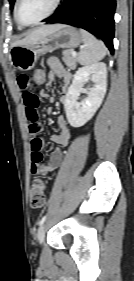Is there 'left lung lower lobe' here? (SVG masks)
<instances>
[{"instance_id":"1","label":"left lung lower lobe","mask_w":134,"mask_h":281,"mask_svg":"<svg viewBox=\"0 0 134 281\" xmlns=\"http://www.w3.org/2000/svg\"><path fill=\"white\" fill-rule=\"evenodd\" d=\"M115 0H64L46 23L70 24L99 36L113 54Z\"/></svg>"}]
</instances>
